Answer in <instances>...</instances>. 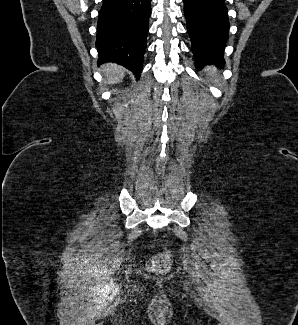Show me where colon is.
Instances as JSON below:
<instances>
[{
	"mask_svg": "<svg viewBox=\"0 0 298 325\" xmlns=\"http://www.w3.org/2000/svg\"><path fill=\"white\" fill-rule=\"evenodd\" d=\"M151 269L158 272L166 271L169 267L168 258L165 256H159L152 260L151 262Z\"/></svg>",
	"mask_w": 298,
	"mask_h": 325,
	"instance_id": "colon-1",
	"label": "colon"
}]
</instances>
